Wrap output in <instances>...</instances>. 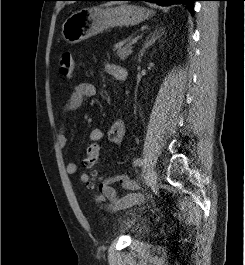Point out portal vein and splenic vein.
Segmentation results:
<instances>
[{
  "mask_svg": "<svg viewBox=\"0 0 245 265\" xmlns=\"http://www.w3.org/2000/svg\"><path fill=\"white\" fill-rule=\"evenodd\" d=\"M137 43V39H133L131 42H130V45H134Z\"/></svg>",
  "mask_w": 245,
  "mask_h": 265,
  "instance_id": "portal-vein-and-splenic-vein-1",
  "label": "portal vein and splenic vein"
}]
</instances>
